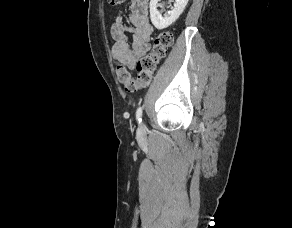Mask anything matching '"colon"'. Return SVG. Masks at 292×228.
<instances>
[{
  "mask_svg": "<svg viewBox=\"0 0 292 228\" xmlns=\"http://www.w3.org/2000/svg\"><path fill=\"white\" fill-rule=\"evenodd\" d=\"M112 6H118L124 0H108ZM173 43L172 35L167 31L158 33L154 39L152 49L144 55L136 64L137 77L133 78L129 71L123 66L117 67V76L126 92H135L141 88L147 87L152 80L153 74L168 53Z\"/></svg>",
  "mask_w": 292,
  "mask_h": 228,
  "instance_id": "1",
  "label": "colon"
}]
</instances>
